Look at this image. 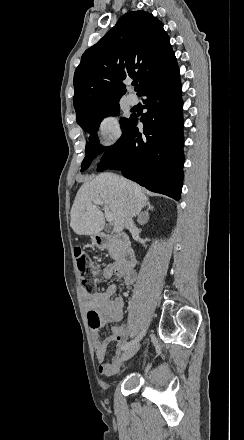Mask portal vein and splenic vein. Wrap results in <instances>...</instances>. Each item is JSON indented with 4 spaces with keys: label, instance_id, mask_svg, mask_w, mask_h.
<instances>
[{
    "label": "portal vein and splenic vein",
    "instance_id": "18ae733b",
    "mask_svg": "<svg viewBox=\"0 0 244 440\" xmlns=\"http://www.w3.org/2000/svg\"><path fill=\"white\" fill-rule=\"evenodd\" d=\"M93 204H96V206H104V202H102V200H94ZM105 208V206H104ZM106 210V214H105V218L107 220V222H110V224H112L114 218H113V214L112 212H109V210H107V208H105Z\"/></svg>",
    "mask_w": 244,
    "mask_h": 440
}]
</instances>
